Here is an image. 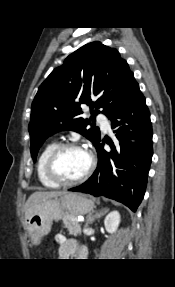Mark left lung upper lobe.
Listing matches in <instances>:
<instances>
[{
	"label": "left lung upper lobe",
	"instance_id": "5c2ea615",
	"mask_svg": "<svg viewBox=\"0 0 175 287\" xmlns=\"http://www.w3.org/2000/svg\"><path fill=\"white\" fill-rule=\"evenodd\" d=\"M136 84L127 62L114 48L95 41L70 54L41 84L32 103L28 129L33 160L46 138L61 130L76 131L96 147L101 140L99 128L80 116V104L90 106L93 116L102 109L111 117Z\"/></svg>",
	"mask_w": 175,
	"mask_h": 287
}]
</instances>
